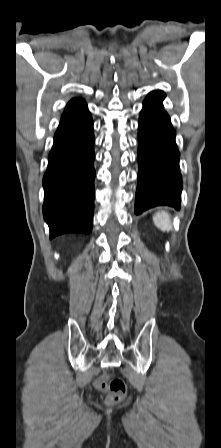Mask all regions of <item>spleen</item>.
Wrapping results in <instances>:
<instances>
[{
	"label": "spleen",
	"instance_id": "3e777b00",
	"mask_svg": "<svg viewBox=\"0 0 221 448\" xmlns=\"http://www.w3.org/2000/svg\"><path fill=\"white\" fill-rule=\"evenodd\" d=\"M154 224L162 231L170 232L172 230V221L166 211H158L153 216Z\"/></svg>",
	"mask_w": 221,
	"mask_h": 448
}]
</instances>
